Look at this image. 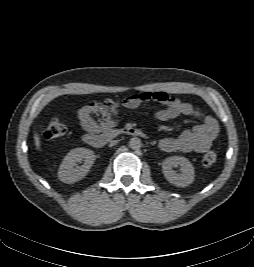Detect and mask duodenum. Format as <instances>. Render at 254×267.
I'll use <instances>...</instances> for the list:
<instances>
[{
  "mask_svg": "<svg viewBox=\"0 0 254 267\" xmlns=\"http://www.w3.org/2000/svg\"><path fill=\"white\" fill-rule=\"evenodd\" d=\"M120 133L131 135V136H141V137L144 136V133L140 129L134 128V127H127V128H124L122 131H116V130L111 131L110 130V131H106L101 134H93V133L86 134L84 136V141L92 147L101 148L105 146L106 143L110 139L114 138Z\"/></svg>",
  "mask_w": 254,
  "mask_h": 267,
  "instance_id": "duodenum-1",
  "label": "duodenum"
}]
</instances>
